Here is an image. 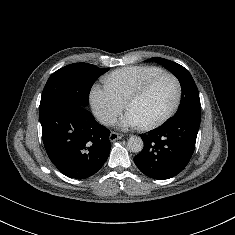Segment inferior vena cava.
Returning <instances> with one entry per match:
<instances>
[{"mask_svg": "<svg viewBox=\"0 0 235 235\" xmlns=\"http://www.w3.org/2000/svg\"><path fill=\"white\" fill-rule=\"evenodd\" d=\"M100 122H102L105 125H109L114 123L115 119L113 116L109 115V114H103L99 117Z\"/></svg>", "mask_w": 235, "mask_h": 235, "instance_id": "602c4592", "label": "inferior vena cava"}]
</instances>
